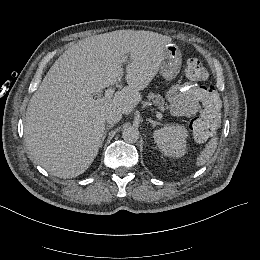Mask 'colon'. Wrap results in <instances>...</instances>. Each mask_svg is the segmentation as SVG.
<instances>
[{
    "mask_svg": "<svg viewBox=\"0 0 260 260\" xmlns=\"http://www.w3.org/2000/svg\"><path fill=\"white\" fill-rule=\"evenodd\" d=\"M207 76V70L200 59L195 57L188 59L186 66V77L189 81H205L207 79ZM220 112L221 111L213 114L212 116L215 118L216 116L221 114Z\"/></svg>",
    "mask_w": 260,
    "mask_h": 260,
    "instance_id": "obj_1",
    "label": "colon"
}]
</instances>
